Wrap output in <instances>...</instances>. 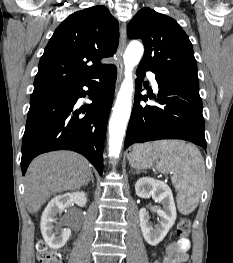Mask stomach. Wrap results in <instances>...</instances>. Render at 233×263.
Wrapping results in <instances>:
<instances>
[{"label":"stomach","mask_w":233,"mask_h":263,"mask_svg":"<svg viewBox=\"0 0 233 263\" xmlns=\"http://www.w3.org/2000/svg\"><path fill=\"white\" fill-rule=\"evenodd\" d=\"M160 154L153 144H137L130 149L128 160L133 168L143 170L151 168L160 158Z\"/></svg>","instance_id":"0dacf381"}]
</instances>
